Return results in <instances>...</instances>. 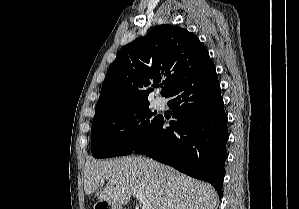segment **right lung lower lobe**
I'll return each instance as SVG.
<instances>
[{
    "label": "right lung lower lobe",
    "instance_id": "1",
    "mask_svg": "<svg viewBox=\"0 0 299 209\" xmlns=\"http://www.w3.org/2000/svg\"><path fill=\"white\" fill-rule=\"evenodd\" d=\"M166 98L176 120L167 127L160 116L133 152L211 183L221 198L229 136L216 71L188 76Z\"/></svg>",
    "mask_w": 299,
    "mask_h": 209
}]
</instances>
